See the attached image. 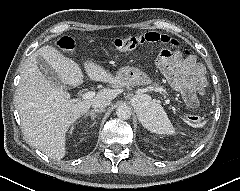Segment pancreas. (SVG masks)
Listing matches in <instances>:
<instances>
[{
	"label": "pancreas",
	"mask_w": 240,
	"mask_h": 191,
	"mask_svg": "<svg viewBox=\"0 0 240 191\" xmlns=\"http://www.w3.org/2000/svg\"><path fill=\"white\" fill-rule=\"evenodd\" d=\"M152 86H153V88H155V89H162L161 87H159L158 84H153Z\"/></svg>",
	"instance_id": "pancreas-1"
}]
</instances>
